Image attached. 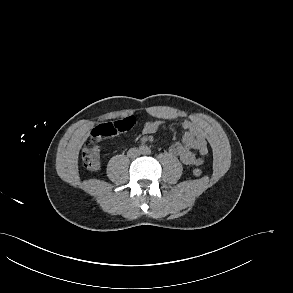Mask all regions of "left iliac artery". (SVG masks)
<instances>
[{
  "instance_id": "obj_1",
  "label": "left iliac artery",
  "mask_w": 293,
  "mask_h": 293,
  "mask_svg": "<svg viewBox=\"0 0 293 293\" xmlns=\"http://www.w3.org/2000/svg\"><path fill=\"white\" fill-rule=\"evenodd\" d=\"M146 153L150 154L151 153V149L150 148H146Z\"/></svg>"
}]
</instances>
